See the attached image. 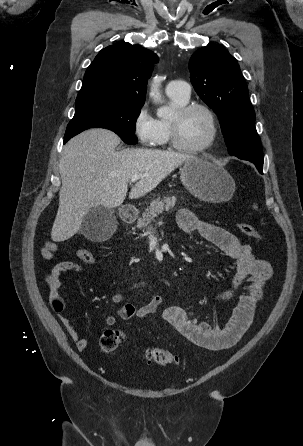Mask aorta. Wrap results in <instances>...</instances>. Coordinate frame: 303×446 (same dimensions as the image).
<instances>
[{
    "instance_id": "762f6f07",
    "label": "aorta",
    "mask_w": 303,
    "mask_h": 446,
    "mask_svg": "<svg viewBox=\"0 0 303 446\" xmlns=\"http://www.w3.org/2000/svg\"><path fill=\"white\" fill-rule=\"evenodd\" d=\"M160 80L155 78L151 84V90H150V97L155 103H160L162 100V96L160 93ZM171 114V110L167 107H162L157 112V115L159 117H168Z\"/></svg>"
}]
</instances>
